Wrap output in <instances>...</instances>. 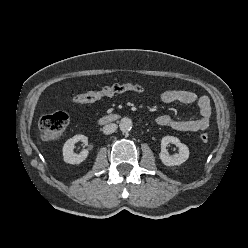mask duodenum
Wrapping results in <instances>:
<instances>
[{"mask_svg":"<svg viewBox=\"0 0 248 248\" xmlns=\"http://www.w3.org/2000/svg\"><path fill=\"white\" fill-rule=\"evenodd\" d=\"M117 118V116L115 115H109V116H105L101 119V121L103 122H111L114 121Z\"/></svg>","mask_w":248,"mask_h":248,"instance_id":"obj_1","label":"duodenum"}]
</instances>
